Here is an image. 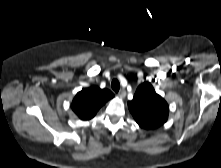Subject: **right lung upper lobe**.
Segmentation results:
<instances>
[{
  "label": "right lung upper lobe",
  "mask_w": 221,
  "mask_h": 168,
  "mask_svg": "<svg viewBox=\"0 0 221 168\" xmlns=\"http://www.w3.org/2000/svg\"><path fill=\"white\" fill-rule=\"evenodd\" d=\"M113 97L114 94L108 89L92 86L78 92L71 107L80 119L89 120L96 115L101 106Z\"/></svg>",
  "instance_id": "obj_1"
}]
</instances>
